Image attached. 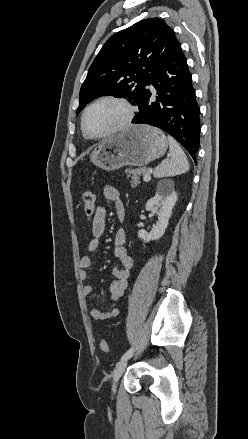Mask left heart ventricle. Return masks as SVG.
Masks as SVG:
<instances>
[{
	"label": "left heart ventricle",
	"mask_w": 248,
	"mask_h": 439,
	"mask_svg": "<svg viewBox=\"0 0 248 439\" xmlns=\"http://www.w3.org/2000/svg\"><path fill=\"white\" fill-rule=\"evenodd\" d=\"M126 115L118 103L106 101L95 105L86 116L85 126L89 133L103 134L122 123Z\"/></svg>",
	"instance_id": "obj_1"
}]
</instances>
